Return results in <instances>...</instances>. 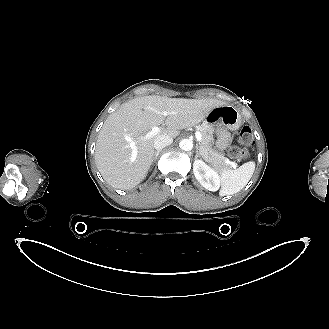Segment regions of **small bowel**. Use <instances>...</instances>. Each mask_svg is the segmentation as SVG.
I'll list each match as a JSON object with an SVG mask.
<instances>
[{
	"mask_svg": "<svg viewBox=\"0 0 329 329\" xmlns=\"http://www.w3.org/2000/svg\"><path fill=\"white\" fill-rule=\"evenodd\" d=\"M229 141V136L226 132L221 131L219 133V138H218V145L220 148H225L226 145L228 144Z\"/></svg>",
	"mask_w": 329,
	"mask_h": 329,
	"instance_id": "small-bowel-1",
	"label": "small bowel"
}]
</instances>
